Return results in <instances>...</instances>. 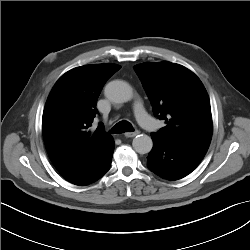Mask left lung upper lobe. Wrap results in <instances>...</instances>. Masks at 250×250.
<instances>
[{
  "mask_svg": "<svg viewBox=\"0 0 250 250\" xmlns=\"http://www.w3.org/2000/svg\"><path fill=\"white\" fill-rule=\"evenodd\" d=\"M166 126L157 133L168 142L209 147L213 125L208 94L199 78L182 65L163 61L134 67Z\"/></svg>",
  "mask_w": 250,
  "mask_h": 250,
  "instance_id": "5c2ea615",
  "label": "left lung upper lobe"
}]
</instances>
